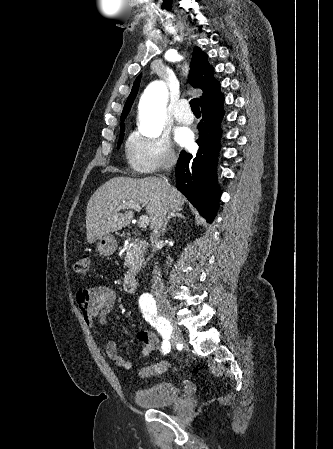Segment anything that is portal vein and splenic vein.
Masks as SVG:
<instances>
[{
  "label": "portal vein and splenic vein",
  "instance_id": "1",
  "mask_svg": "<svg viewBox=\"0 0 333 449\" xmlns=\"http://www.w3.org/2000/svg\"><path fill=\"white\" fill-rule=\"evenodd\" d=\"M129 208L134 209L135 211H138V212L141 210L140 204H138L136 202H128V203H125L124 205L119 206V210L129 209ZM148 224H149L148 216H145V215L140 216L139 221H138V226L140 228H146L148 226Z\"/></svg>",
  "mask_w": 333,
  "mask_h": 449
}]
</instances>
